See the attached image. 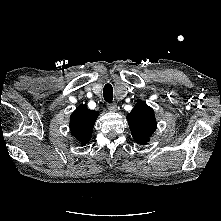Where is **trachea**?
Wrapping results in <instances>:
<instances>
[{
  "label": "trachea",
  "mask_w": 221,
  "mask_h": 221,
  "mask_svg": "<svg viewBox=\"0 0 221 221\" xmlns=\"http://www.w3.org/2000/svg\"><path fill=\"white\" fill-rule=\"evenodd\" d=\"M103 96L104 100L108 103L112 102L113 100V87L111 84L107 83L105 84L103 88Z\"/></svg>",
  "instance_id": "obj_1"
}]
</instances>
